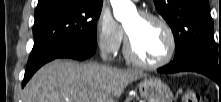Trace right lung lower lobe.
I'll return each mask as SVG.
<instances>
[{"label": "right lung lower lobe", "mask_w": 221, "mask_h": 102, "mask_svg": "<svg viewBox=\"0 0 221 102\" xmlns=\"http://www.w3.org/2000/svg\"><path fill=\"white\" fill-rule=\"evenodd\" d=\"M95 47L87 44L68 42L54 46L35 59L28 61L25 71L22 87L29 81L32 75L45 63L56 58H72L77 60H85L94 55Z\"/></svg>", "instance_id": "right-lung-lower-lobe-1"}]
</instances>
